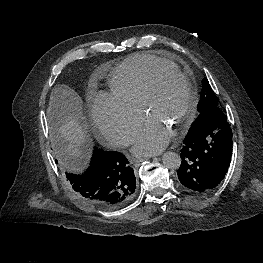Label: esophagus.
Instances as JSON below:
<instances>
[{"mask_svg": "<svg viewBox=\"0 0 263 263\" xmlns=\"http://www.w3.org/2000/svg\"><path fill=\"white\" fill-rule=\"evenodd\" d=\"M146 158H140V159H132V163L135 165V166H138L140 165L141 162H143Z\"/></svg>", "mask_w": 263, "mask_h": 263, "instance_id": "34e87169", "label": "esophagus"}]
</instances>
